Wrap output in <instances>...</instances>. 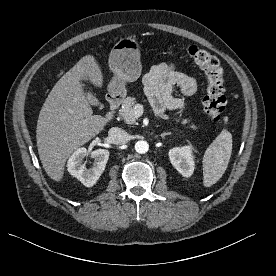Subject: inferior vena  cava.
I'll list each match as a JSON object with an SVG mask.
<instances>
[{
    "instance_id": "1",
    "label": "inferior vena cava",
    "mask_w": 276,
    "mask_h": 276,
    "mask_svg": "<svg viewBox=\"0 0 276 276\" xmlns=\"http://www.w3.org/2000/svg\"><path fill=\"white\" fill-rule=\"evenodd\" d=\"M109 138L112 141V143L117 145H123L126 144L129 140L128 133L118 127H113L108 132Z\"/></svg>"
}]
</instances>
